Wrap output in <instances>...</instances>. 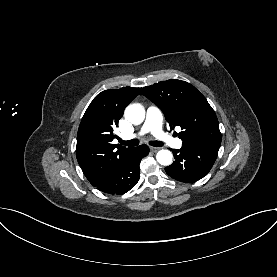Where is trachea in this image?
Wrapping results in <instances>:
<instances>
[{"instance_id":"trachea-1","label":"trachea","mask_w":277,"mask_h":277,"mask_svg":"<svg viewBox=\"0 0 277 277\" xmlns=\"http://www.w3.org/2000/svg\"><path fill=\"white\" fill-rule=\"evenodd\" d=\"M120 143L123 145L129 146V147H134V146L139 145V140H137V139H132V140H128V141L121 140ZM149 144L154 147L163 146V143L160 141H149Z\"/></svg>"}]
</instances>
